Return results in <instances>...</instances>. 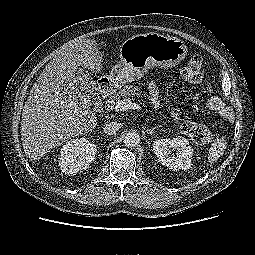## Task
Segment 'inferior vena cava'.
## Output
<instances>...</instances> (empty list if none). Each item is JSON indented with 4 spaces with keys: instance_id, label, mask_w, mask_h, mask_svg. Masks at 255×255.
<instances>
[{
    "instance_id": "1",
    "label": "inferior vena cava",
    "mask_w": 255,
    "mask_h": 255,
    "mask_svg": "<svg viewBox=\"0 0 255 255\" xmlns=\"http://www.w3.org/2000/svg\"><path fill=\"white\" fill-rule=\"evenodd\" d=\"M121 127V124L117 122H108L104 125L103 131L105 134L113 135L115 134Z\"/></svg>"
}]
</instances>
